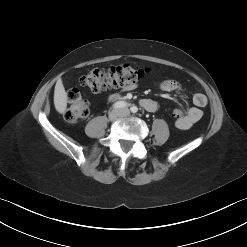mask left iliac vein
I'll return each mask as SVG.
<instances>
[{
  "mask_svg": "<svg viewBox=\"0 0 247 247\" xmlns=\"http://www.w3.org/2000/svg\"><path fill=\"white\" fill-rule=\"evenodd\" d=\"M121 113H122V114L128 113V109H122V110H121Z\"/></svg>",
  "mask_w": 247,
  "mask_h": 247,
  "instance_id": "obj_1",
  "label": "left iliac vein"
}]
</instances>
